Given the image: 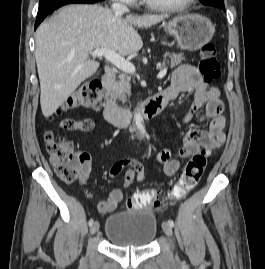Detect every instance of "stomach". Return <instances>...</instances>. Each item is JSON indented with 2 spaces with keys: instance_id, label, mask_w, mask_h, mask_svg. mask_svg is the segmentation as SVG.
<instances>
[{
  "instance_id": "1",
  "label": "stomach",
  "mask_w": 265,
  "mask_h": 269,
  "mask_svg": "<svg viewBox=\"0 0 265 269\" xmlns=\"http://www.w3.org/2000/svg\"><path fill=\"white\" fill-rule=\"evenodd\" d=\"M163 25L175 38L178 46L188 51L201 49L212 39L215 32L212 22L199 14L178 15Z\"/></svg>"
}]
</instances>
